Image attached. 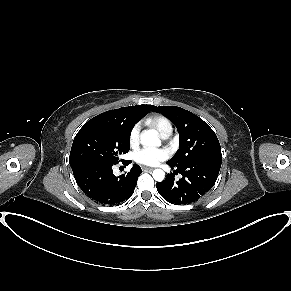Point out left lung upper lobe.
Returning <instances> with one entry per match:
<instances>
[{"label":"left lung upper lobe","instance_id":"1","mask_svg":"<svg viewBox=\"0 0 291 291\" xmlns=\"http://www.w3.org/2000/svg\"><path fill=\"white\" fill-rule=\"evenodd\" d=\"M154 110L169 118L179 132V149L168 164L177 167L195 160H222L218 138L201 118L176 106H159Z\"/></svg>","mask_w":291,"mask_h":291}]
</instances>
